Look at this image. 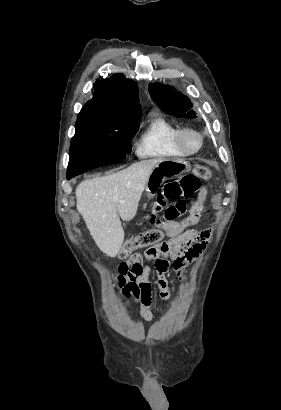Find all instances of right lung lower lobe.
I'll return each instance as SVG.
<instances>
[{
  "mask_svg": "<svg viewBox=\"0 0 281 410\" xmlns=\"http://www.w3.org/2000/svg\"><path fill=\"white\" fill-rule=\"evenodd\" d=\"M72 177H73V176H71V175H67V178H68V179H70V178H72Z\"/></svg>",
  "mask_w": 281,
  "mask_h": 410,
  "instance_id": "obj_1",
  "label": "right lung lower lobe"
}]
</instances>
